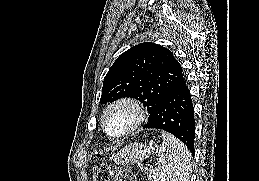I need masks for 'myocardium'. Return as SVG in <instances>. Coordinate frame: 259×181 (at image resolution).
<instances>
[{
  "label": "myocardium",
  "mask_w": 259,
  "mask_h": 181,
  "mask_svg": "<svg viewBox=\"0 0 259 181\" xmlns=\"http://www.w3.org/2000/svg\"><path fill=\"white\" fill-rule=\"evenodd\" d=\"M126 107L132 111V122L130 125L122 132L114 134L111 133L107 128V118L112 111L117 108ZM146 113L143 105L135 98L132 97H121L112 101L104 110L101 118V125L103 131L112 138H122L130 135L135 130H137L145 121Z\"/></svg>",
  "instance_id": "1"
}]
</instances>
